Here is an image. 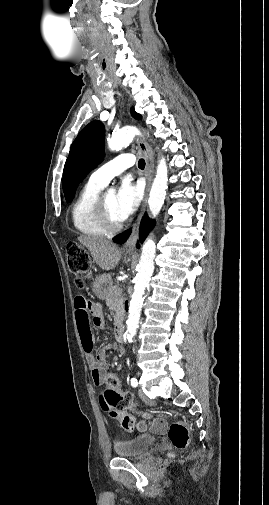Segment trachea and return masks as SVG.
<instances>
[{
	"mask_svg": "<svg viewBox=\"0 0 269 505\" xmlns=\"http://www.w3.org/2000/svg\"><path fill=\"white\" fill-rule=\"evenodd\" d=\"M138 167H139L140 169H144V167H145V161H144V159H140V160L138 161Z\"/></svg>",
	"mask_w": 269,
	"mask_h": 505,
	"instance_id": "3493384b",
	"label": "trachea"
}]
</instances>
